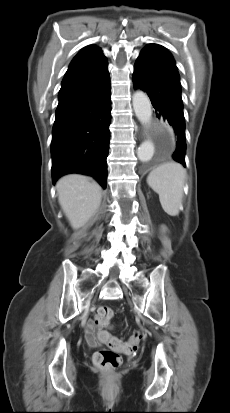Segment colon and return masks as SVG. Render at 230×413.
<instances>
[{
	"label": "colon",
	"mask_w": 230,
	"mask_h": 413,
	"mask_svg": "<svg viewBox=\"0 0 230 413\" xmlns=\"http://www.w3.org/2000/svg\"><path fill=\"white\" fill-rule=\"evenodd\" d=\"M113 317V311L106 305H100L95 312V323L102 327L107 325ZM144 338V333L136 330L125 343L111 336L109 339V348H100L94 354V363L107 372L116 370L122 363V357L118 350H123L126 354L135 353Z\"/></svg>",
	"instance_id": "colon-1"
}]
</instances>
